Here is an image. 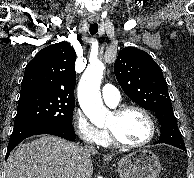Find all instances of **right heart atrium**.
<instances>
[{
	"instance_id": "obj_1",
	"label": "right heart atrium",
	"mask_w": 194,
	"mask_h": 178,
	"mask_svg": "<svg viewBox=\"0 0 194 178\" xmlns=\"http://www.w3.org/2000/svg\"><path fill=\"white\" fill-rule=\"evenodd\" d=\"M72 126L78 137L86 144H100L104 131L91 123L85 113L81 110H75L72 115Z\"/></svg>"
}]
</instances>
